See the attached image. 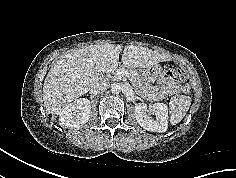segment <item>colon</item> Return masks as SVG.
Returning a JSON list of instances; mask_svg holds the SVG:
<instances>
[{
	"mask_svg": "<svg viewBox=\"0 0 236 178\" xmlns=\"http://www.w3.org/2000/svg\"><path fill=\"white\" fill-rule=\"evenodd\" d=\"M178 73V70L177 69H174V68H169L165 71V74L167 76H174ZM184 92H188L189 91V86L188 85H185L184 88H183Z\"/></svg>",
	"mask_w": 236,
	"mask_h": 178,
	"instance_id": "5ec220e1",
	"label": "colon"
}]
</instances>
